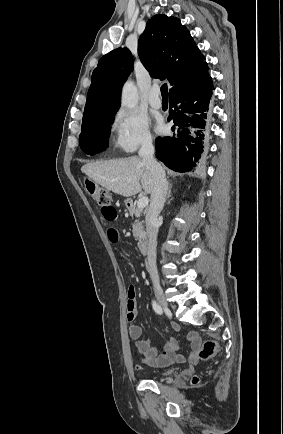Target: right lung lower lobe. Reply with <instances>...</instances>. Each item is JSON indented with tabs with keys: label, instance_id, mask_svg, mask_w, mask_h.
Listing matches in <instances>:
<instances>
[{
	"label": "right lung lower lobe",
	"instance_id": "right-lung-lower-lobe-1",
	"mask_svg": "<svg viewBox=\"0 0 283 434\" xmlns=\"http://www.w3.org/2000/svg\"><path fill=\"white\" fill-rule=\"evenodd\" d=\"M214 89L209 76L202 84L170 95V115L173 135L158 137L155 141L156 157L174 171L191 170L205 149L207 114Z\"/></svg>",
	"mask_w": 283,
	"mask_h": 434
}]
</instances>
